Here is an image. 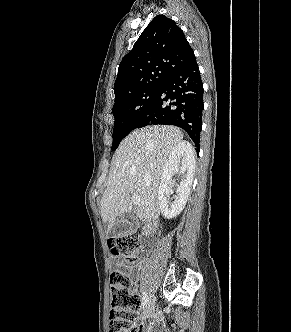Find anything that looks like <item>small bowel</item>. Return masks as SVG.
<instances>
[{
	"label": "small bowel",
	"mask_w": 291,
	"mask_h": 332,
	"mask_svg": "<svg viewBox=\"0 0 291 332\" xmlns=\"http://www.w3.org/2000/svg\"><path fill=\"white\" fill-rule=\"evenodd\" d=\"M115 265L118 266V267H123L124 266L123 263L120 262V261H116Z\"/></svg>",
	"instance_id": "small-bowel-1"
}]
</instances>
